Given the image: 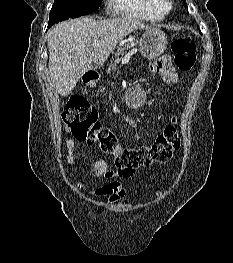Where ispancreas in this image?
<instances>
[{
  "instance_id": "pancreas-1",
  "label": "pancreas",
  "mask_w": 233,
  "mask_h": 263,
  "mask_svg": "<svg viewBox=\"0 0 233 263\" xmlns=\"http://www.w3.org/2000/svg\"><path fill=\"white\" fill-rule=\"evenodd\" d=\"M136 45H137V42L133 40V41H128L118 46L117 51L113 53L114 57H112L110 68L115 69L118 62L120 61V56L124 55L127 49L134 48Z\"/></svg>"
}]
</instances>
